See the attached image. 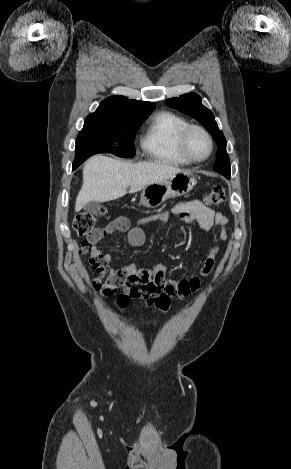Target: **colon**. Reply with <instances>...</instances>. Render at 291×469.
Here are the masks:
<instances>
[{
	"instance_id": "colon-1",
	"label": "colon",
	"mask_w": 291,
	"mask_h": 469,
	"mask_svg": "<svg viewBox=\"0 0 291 469\" xmlns=\"http://www.w3.org/2000/svg\"><path fill=\"white\" fill-rule=\"evenodd\" d=\"M226 198V190L223 185H217L206 193L205 203L207 205H217L222 203ZM105 213V207H102L98 214L92 212H82L78 214L73 222V229L79 237H83L82 251H89L90 247L93 246L97 241L102 239L106 235L105 228L97 227V218ZM90 265L93 269L98 272H102L106 269L105 263L97 257H90ZM101 284H96V289L101 288ZM151 291H155L153 287ZM116 303L120 305V310L126 312L130 305L136 306L144 304L148 310H160L167 311L170 305L169 296L167 294H160L158 296H137L135 299L132 296H125L124 292H121L117 298Z\"/></svg>"
}]
</instances>
